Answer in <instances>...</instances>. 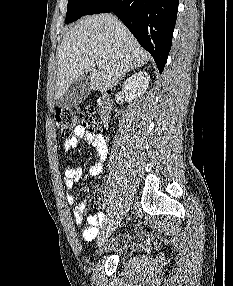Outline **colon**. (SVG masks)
I'll return each instance as SVG.
<instances>
[{
  "instance_id": "obj_1",
  "label": "colon",
  "mask_w": 233,
  "mask_h": 286,
  "mask_svg": "<svg viewBox=\"0 0 233 286\" xmlns=\"http://www.w3.org/2000/svg\"><path fill=\"white\" fill-rule=\"evenodd\" d=\"M55 122L61 134L70 138L76 127L82 126L90 131L97 128V119L89 109H61L55 114Z\"/></svg>"
}]
</instances>
